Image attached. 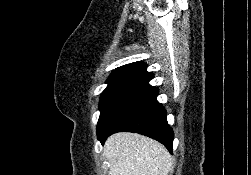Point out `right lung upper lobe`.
Returning a JSON list of instances; mask_svg holds the SVG:
<instances>
[{
	"label": "right lung upper lobe",
	"mask_w": 251,
	"mask_h": 175,
	"mask_svg": "<svg viewBox=\"0 0 251 175\" xmlns=\"http://www.w3.org/2000/svg\"><path fill=\"white\" fill-rule=\"evenodd\" d=\"M147 65L143 62H133L112 71L109 78L130 77L137 81H147L153 78V73L146 70Z\"/></svg>",
	"instance_id": "1"
}]
</instances>
